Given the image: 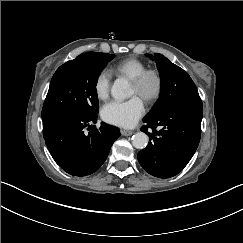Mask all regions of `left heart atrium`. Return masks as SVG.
I'll use <instances>...</instances> for the list:
<instances>
[{"label":"left heart atrium","mask_w":243,"mask_h":243,"mask_svg":"<svg viewBox=\"0 0 243 243\" xmlns=\"http://www.w3.org/2000/svg\"><path fill=\"white\" fill-rule=\"evenodd\" d=\"M145 112L143 99L134 95L128 100H111L101 108L102 119L117 126H132Z\"/></svg>","instance_id":"obj_1"}]
</instances>
